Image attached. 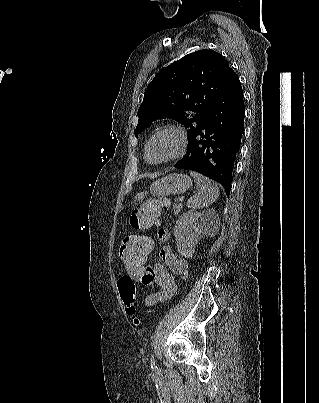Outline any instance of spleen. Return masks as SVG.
<instances>
[{
	"instance_id": "3e777b00",
	"label": "spleen",
	"mask_w": 319,
	"mask_h": 403,
	"mask_svg": "<svg viewBox=\"0 0 319 403\" xmlns=\"http://www.w3.org/2000/svg\"><path fill=\"white\" fill-rule=\"evenodd\" d=\"M197 185V195L192 196L187 207L191 209H200L210 206L220 195L217 184H214L209 178L197 173L190 172Z\"/></svg>"
}]
</instances>
